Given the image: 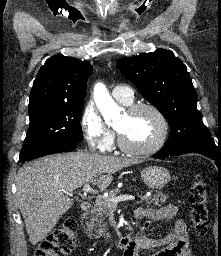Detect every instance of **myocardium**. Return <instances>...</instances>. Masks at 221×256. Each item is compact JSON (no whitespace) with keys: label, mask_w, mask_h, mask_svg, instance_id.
Instances as JSON below:
<instances>
[{"label":"myocardium","mask_w":221,"mask_h":256,"mask_svg":"<svg viewBox=\"0 0 221 256\" xmlns=\"http://www.w3.org/2000/svg\"><path fill=\"white\" fill-rule=\"evenodd\" d=\"M142 110H148L152 112L155 117L157 118L159 125H160V132L157 139L146 147H133L128 145L124 138L122 137L121 133L117 130L118 133V145L122 151L132 154V155H151L159 151L164 144L166 143L168 136H169V122L165 114L158 108L156 105L149 103V102H141L130 104L127 108V113L135 114Z\"/></svg>","instance_id":"f54148a6"}]
</instances>
